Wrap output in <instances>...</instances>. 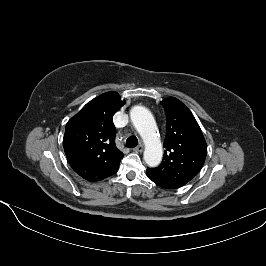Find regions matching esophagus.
Instances as JSON below:
<instances>
[{"label": "esophagus", "mask_w": 266, "mask_h": 266, "mask_svg": "<svg viewBox=\"0 0 266 266\" xmlns=\"http://www.w3.org/2000/svg\"><path fill=\"white\" fill-rule=\"evenodd\" d=\"M143 150H144L143 145H139V146H137V147L134 149L135 152H139V153L143 152Z\"/></svg>", "instance_id": "1"}]
</instances>
